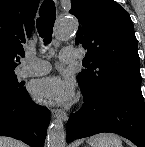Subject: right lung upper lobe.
Here are the masks:
<instances>
[{
    "mask_svg": "<svg viewBox=\"0 0 145 147\" xmlns=\"http://www.w3.org/2000/svg\"><path fill=\"white\" fill-rule=\"evenodd\" d=\"M39 0H0V74H13L24 56Z\"/></svg>",
    "mask_w": 145,
    "mask_h": 147,
    "instance_id": "1",
    "label": "right lung upper lobe"
}]
</instances>
